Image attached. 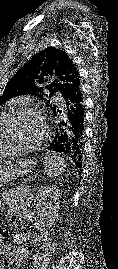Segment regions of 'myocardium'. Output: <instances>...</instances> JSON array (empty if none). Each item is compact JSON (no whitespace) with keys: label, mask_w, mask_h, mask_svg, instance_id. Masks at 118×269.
<instances>
[{"label":"myocardium","mask_w":118,"mask_h":269,"mask_svg":"<svg viewBox=\"0 0 118 269\" xmlns=\"http://www.w3.org/2000/svg\"><path fill=\"white\" fill-rule=\"evenodd\" d=\"M27 112H37L41 118L44 121V132L43 135L39 140H37L34 143H28V142H22V141H17V140H12L11 138L7 137V130L9 126L14 122L16 118L19 116L27 113ZM48 130H49V124L48 120L43 112L38 110L36 107L31 106V105H23L19 108H16L6 114L4 119L0 123V146L2 147L3 151H26V150H32L35 149L39 146H41L47 135H48Z\"/></svg>","instance_id":"1"}]
</instances>
